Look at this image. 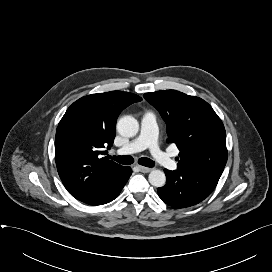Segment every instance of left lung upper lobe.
I'll return each mask as SVG.
<instances>
[{"label":"left lung upper lobe","mask_w":272,"mask_h":272,"mask_svg":"<svg viewBox=\"0 0 272 272\" xmlns=\"http://www.w3.org/2000/svg\"><path fill=\"white\" fill-rule=\"evenodd\" d=\"M167 125V142L179 148L177 169L222 174L227 162L226 132L203 99L176 90L145 93Z\"/></svg>","instance_id":"obj_1"}]
</instances>
